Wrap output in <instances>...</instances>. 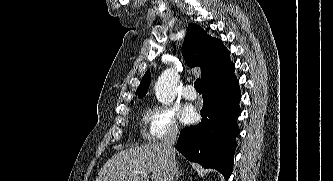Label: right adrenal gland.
Wrapping results in <instances>:
<instances>
[{
    "mask_svg": "<svg viewBox=\"0 0 333 181\" xmlns=\"http://www.w3.org/2000/svg\"><path fill=\"white\" fill-rule=\"evenodd\" d=\"M183 173H180L179 172V168H177V173H176V176H175V180L174 181H178L179 177L182 175Z\"/></svg>",
    "mask_w": 333,
    "mask_h": 181,
    "instance_id": "right-adrenal-gland-1",
    "label": "right adrenal gland"
}]
</instances>
